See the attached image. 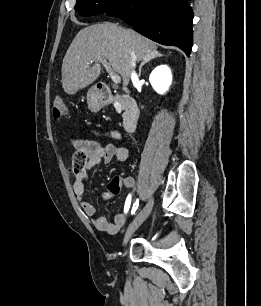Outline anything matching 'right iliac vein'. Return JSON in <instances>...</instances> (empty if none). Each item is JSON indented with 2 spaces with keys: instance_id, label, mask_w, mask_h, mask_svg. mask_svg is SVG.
<instances>
[{
  "instance_id": "obj_1",
  "label": "right iliac vein",
  "mask_w": 261,
  "mask_h": 306,
  "mask_svg": "<svg viewBox=\"0 0 261 306\" xmlns=\"http://www.w3.org/2000/svg\"><path fill=\"white\" fill-rule=\"evenodd\" d=\"M153 199H150L145 207L136 215L132 223L129 225L128 229L126 230L124 239H123V246H125L134 232L141 226V224L147 219L149 216L152 207H153Z\"/></svg>"
}]
</instances>
